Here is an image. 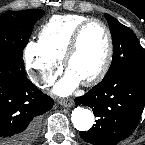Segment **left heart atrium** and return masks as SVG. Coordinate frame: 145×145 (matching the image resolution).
Returning <instances> with one entry per match:
<instances>
[{
  "instance_id": "1",
  "label": "left heart atrium",
  "mask_w": 145,
  "mask_h": 145,
  "mask_svg": "<svg viewBox=\"0 0 145 145\" xmlns=\"http://www.w3.org/2000/svg\"><path fill=\"white\" fill-rule=\"evenodd\" d=\"M79 82L80 79L78 77L67 72L65 77L56 84L54 91L59 95H67L78 86Z\"/></svg>"
}]
</instances>
